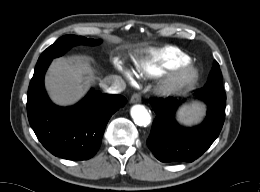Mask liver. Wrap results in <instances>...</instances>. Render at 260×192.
Returning <instances> with one entry per match:
<instances>
[{"mask_svg":"<svg viewBox=\"0 0 260 192\" xmlns=\"http://www.w3.org/2000/svg\"><path fill=\"white\" fill-rule=\"evenodd\" d=\"M86 60H54L46 74L45 86L51 100L61 106L78 102L98 77Z\"/></svg>","mask_w":260,"mask_h":192,"instance_id":"1","label":"liver"}]
</instances>
